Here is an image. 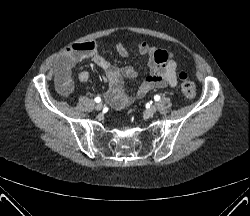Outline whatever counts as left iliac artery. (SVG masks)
Returning a JSON list of instances; mask_svg holds the SVG:
<instances>
[{"mask_svg": "<svg viewBox=\"0 0 250 216\" xmlns=\"http://www.w3.org/2000/svg\"><path fill=\"white\" fill-rule=\"evenodd\" d=\"M154 100H155V101H159V100H160V96H159V95H155V96H154Z\"/></svg>", "mask_w": 250, "mask_h": 216, "instance_id": "left-iliac-artery-1", "label": "left iliac artery"}]
</instances>
